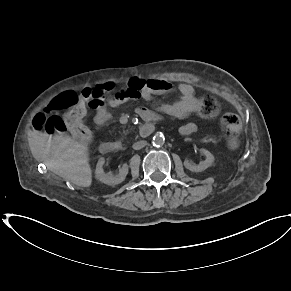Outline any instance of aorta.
<instances>
[{
  "instance_id": "1",
  "label": "aorta",
  "mask_w": 291,
  "mask_h": 291,
  "mask_svg": "<svg viewBox=\"0 0 291 291\" xmlns=\"http://www.w3.org/2000/svg\"><path fill=\"white\" fill-rule=\"evenodd\" d=\"M165 142V137L163 133L156 132L152 138V143L154 146H162Z\"/></svg>"
}]
</instances>
